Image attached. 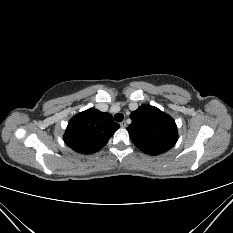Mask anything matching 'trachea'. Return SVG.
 <instances>
[{
	"label": "trachea",
	"mask_w": 233,
	"mask_h": 233,
	"mask_svg": "<svg viewBox=\"0 0 233 233\" xmlns=\"http://www.w3.org/2000/svg\"><path fill=\"white\" fill-rule=\"evenodd\" d=\"M114 119L116 122H121L124 119V115L122 113H117L114 115Z\"/></svg>",
	"instance_id": "1"
}]
</instances>
